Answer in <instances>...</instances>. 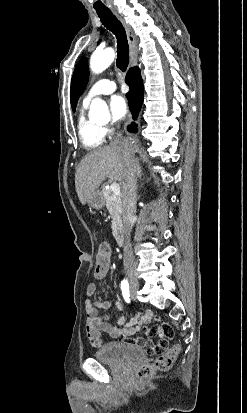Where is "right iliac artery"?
I'll list each match as a JSON object with an SVG mask.
<instances>
[{
  "mask_svg": "<svg viewBox=\"0 0 247 413\" xmlns=\"http://www.w3.org/2000/svg\"><path fill=\"white\" fill-rule=\"evenodd\" d=\"M122 295L127 303H130L129 285L121 284Z\"/></svg>",
  "mask_w": 247,
  "mask_h": 413,
  "instance_id": "82829eb1",
  "label": "right iliac artery"
}]
</instances>
